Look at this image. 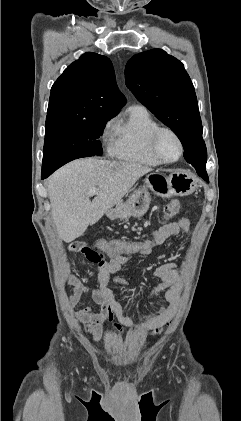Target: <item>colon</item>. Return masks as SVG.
Listing matches in <instances>:
<instances>
[{
  "label": "colon",
  "instance_id": "colon-1",
  "mask_svg": "<svg viewBox=\"0 0 241 421\" xmlns=\"http://www.w3.org/2000/svg\"><path fill=\"white\" fill-rule=\"evenodd\" d=\"M179 211V202L176 200L168 203L163 209L165 220L172 219ZM159 243L157 240L125 241L111 240L99 242L78 241L70 245L73 252L82 253L86 258L98 265L105 263V256L115 255H143L152 251Z\"/></svg>",
  "mask_w": 241,
  "mask_h": 421
}]
</instances>
